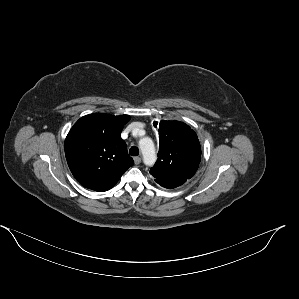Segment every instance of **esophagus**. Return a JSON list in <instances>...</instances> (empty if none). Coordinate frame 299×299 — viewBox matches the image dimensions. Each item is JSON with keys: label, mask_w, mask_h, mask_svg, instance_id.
Wrapping results in <instances>:
<instances>
[{"label": "esophagus", "mask_w": 299, "mask_h": 299, "mask_svg": "<svg viewBox=\"0 0 299 299\" xmlns=\"http://www.w3.org/2000/svg\"><path fill=\"white\" fill-rule=\"evenodd\" d=\"M134 163L136 165L140 164L141 163V158L140 157H134Z\"/></svg>", "instance_id": "34e87169"}]
</instances>
